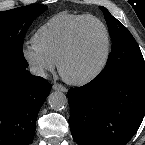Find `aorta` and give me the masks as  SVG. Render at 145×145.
I'll return each instance as SVG.
<instances>
[{
  "instance_id": "762f6f07",
  "label": "aorta",
  "mask_w": 145,
  "mask_h": 145,
  "mask_svg": "<svg viewBox=\"0 0 145 145\" xmlns=\"http://www.w3.org/2000/svg\"><path fill=\"white\" fill-rule=\"evenodd\" d=\"M48 102L51 108L55 111H60L68 105L67 96L63 92H53L48 97Z\"/></svg>"
}]
</instances>
